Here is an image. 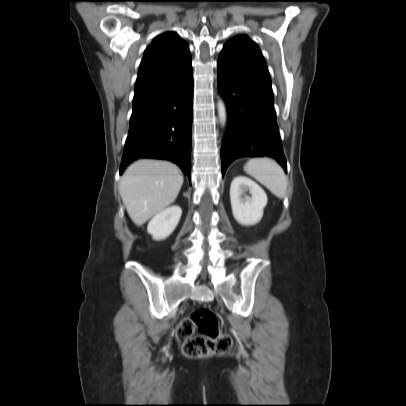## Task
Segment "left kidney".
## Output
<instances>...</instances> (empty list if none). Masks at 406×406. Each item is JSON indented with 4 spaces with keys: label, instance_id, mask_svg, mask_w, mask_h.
Instances as JSON below:
<instances>
[{
    "label": "left kidney",
    "instance_id": "1",
    "mask_svg": "<svg viewBox=\"0 0 406 406\" xmlns=\"http://www.w3.org/2000/svg\"><path fill=\"white\" fill-rule=\"evenodd\" d=\"M249 192V195H247ZM232 213L238 223L248 226L258 223L267 204V195L253 180L237 176L230 187Z\"/></svg>",
    "mask_w": 406,
    "mask_h": 406
}]
</instances>
